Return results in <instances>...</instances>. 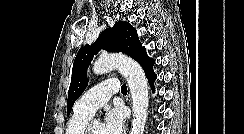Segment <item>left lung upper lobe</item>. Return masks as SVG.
I'll return each instance as SVG.
<instances>
[{
  "label": "left lung upper lobe",
  "mask_w": 244,
  "mask_h": 134,
  "mask_svg": "<svg viewBox=\"0 0 244 134\" xmlns=\"http://www.w3.org/2000/svg\"><path fill=\"white\" fill-rule=\"evenodd\" d=\"M101 49L110 52H123L135 59L145 72L153 70L154 59L146 54L136 29L128 22H117L112 28L104 30L92 46L82 47L74 60L71 84L68 91L67 115L70 114L74 102L80 97L88 85L87 69L93 56Z\"/></svg>",
  "instance_id": "5c2ea615"
}]
</instances>
